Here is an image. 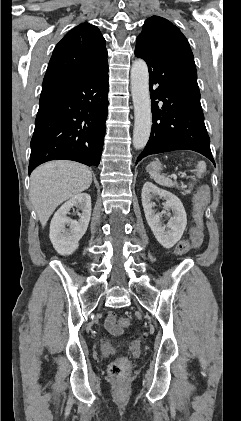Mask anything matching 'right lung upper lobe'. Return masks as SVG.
<instances>
[{"label": "right lung upper lobe", "mask_w": 241, "mask_h": 421, "mask_svg": "<svg viewBox=\"0 0 241 421\" xmlns=\"http://www.w3.org/2000/svg\"><path fill=\"white\" fill-rule=\"evenodd\" d=\"M106 62L105 39L99 29L87 22L82 23L56 45L43 86L88 74Z\"/></svg>", "instance_id": "right-lung-upper-lobe-1"}]
</instances>
